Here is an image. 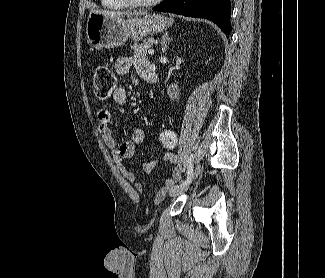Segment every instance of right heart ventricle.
I'll return each instance as SVG.
<instances>
[{
  "label": "right heart ventricle",
  "mask_w": 325,
  "mask_h": 278,
  "mask_svg": "<svg viewBox=\"0 0 325 278\" xmlns=\"http://www.w3.org/2000/svg\"><path fill=\"white\" fill-rule=\"evenodd\" d=\"M103 7L110 10H122L127 8L121 0H100Z\"/></svg>",
  "instance_id": "e07e8e85"
}]
</instances>
